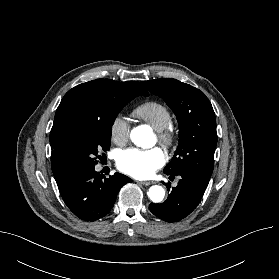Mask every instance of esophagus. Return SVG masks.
<instances>
[{
  "label": "esophagus",
  "instance_id": "1",
  "mask_svg": "<svg viewBox=\"0 0 279 279\" xmlns=\"http://www.w3.org/2000/svg\"><path fill=\"white\" fill-rule=\"evenodd\" d=\"M153 181H141L140 184L145 185V186H149L151 184H153Z\"/></svg>",
  "mask_w": 279,
  "mask_h": 279
}]
</instances>
